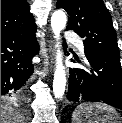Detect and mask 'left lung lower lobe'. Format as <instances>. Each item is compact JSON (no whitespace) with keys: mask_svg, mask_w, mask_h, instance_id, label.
Returning <instances> with one entry per match:
<instances>
[{"mask_svg":"<svg viewBox=\"0 0 122 123\" xmlns=\"http://www.w3.org/2000/svg\"><path fill=\"white\" fill-rule=\"evenodd\" d=\"M87 70L70 69L68 100L103 102L122 110V70L120 59L85 50ZM71 62H80L77 55Z\"/></svg>","mask_w":122,"mask_h":123,"instance_id":"left-lung-lower-lobe-1","label":"left lung lower lobe"}]
</instances>
